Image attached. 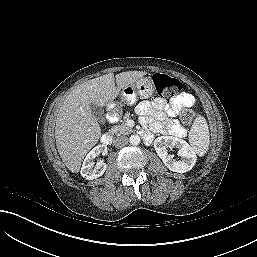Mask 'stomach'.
<instances>
[{
	"mask_svg": "<svg viewBox=\"0 0 257 257\" xmlns=\"http://www.w3.org/2000/svg\"><path fill=\"white\" fill-rule=\"evenodd\" d=\"M154 93V84L150 77H142L134 84L122 89L121 98L128 104H133L137 96L142 98H149Z\"/></svg>",
	"mask_w": 257,
	"mask_h": 257,
	"instance_id": "stomach-1",
	"label": "stomach"
}]
</instances>
